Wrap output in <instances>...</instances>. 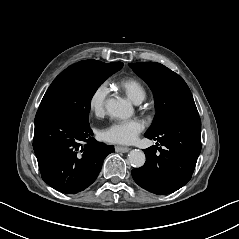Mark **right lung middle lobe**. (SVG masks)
Listing matches in <instances>:
<instances>
[{"label":"right lung middle lobe","mask_w":239,"mask_h":239,"mask_svg":"<svg viewBox=\"0 0 239 239\" xmlns=\"http://www.w3.org/2000/svg\"><path fill=\"white\" fill-rule=\"evenodd\" d=\"M118 70L120 68L92 59L69 66L48 88L36 116L49 112H66L89 122L91 98L98 87Z\"/></svg>","instance_id":"right-lung-middle-lobe-1"}]
</instances>
